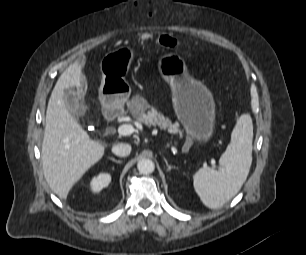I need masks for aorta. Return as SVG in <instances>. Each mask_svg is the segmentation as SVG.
Listing matches in <instances>:
<instances>
[{
  "label": "aorta",
  "mask_w": 306,
  "mask_h": 255,
  "mask_svg": "<svg viewBox=\"0 0 306 255\" xmlns=\"http://www.w3.org/2000/svg\"><path fill=\"white\" fill-rule=\"evenodd\" d=\"M137 168L141 174L147 175L154 171L155 164L150 159H141L137 164Z\"/></svg>",
  "instance_id": "762f6f07"
}]
</instances>
